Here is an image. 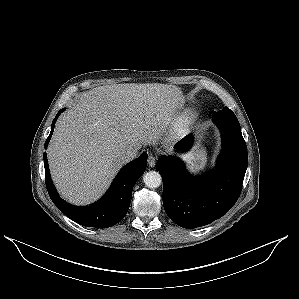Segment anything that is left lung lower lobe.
Here are the masks:
<instances>
[{"instance_id": "obj_1", "label": "left lung lower lobe", "mask_w": 299, "mask_h": 299, "mask_svg": "<svg viewBox=\"0 0 299 299\" xmlns=\"http://www.w3.org/2000/svg\"><path fill=\"white\" fill-rule=\"evenodd\" d=\"M222 134V151L216 168L203 177L190 176L177 157L162 156L156 168L163 179V205L168 217L183 228L207 225L227 213L236 203L248 165L246 143L235 114L227 107L213 113ZM192 136L175 146L187 151Z\"/></svg>"}]
</instances>
